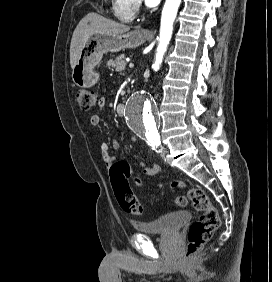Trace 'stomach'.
Returning a JSON list of instances; mask_svg holds the SVG:
<instances>
[{
	"label": "stomach",
	"instance_id": "1",
	"mask_svg": "<svg viewBox=\"0 0 272 282\" xmlns=\"http://www.w3.org/2000/svg\"><path fill=\"white\" fill-rule=\"evenodd\" d=\"M146 34L134 30L125 34L98 33L92 35L83 47L72 71V80L81 88L92 87L98 81L95 67L107 52H117L125 48H135L145 42Z\"/></svg>",
	"mask_w": 272,
	"mask_h": 282
}]
</instances>
